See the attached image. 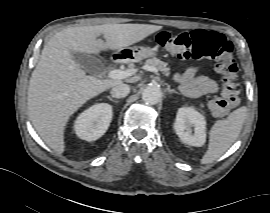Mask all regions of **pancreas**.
<instances>
[{"label": "pancreas", "instance_id": "1", "mask_svg": "<svg viewBox=\"0 0 270 213\" xmlns=\"http://www.w3.org/2000/svg\"><path fill=\"white\" fill-rule=\"evenodd\" d=\"M145 63L147 65H150V66L157 68L159 71H161L166 76H169L171 74L170 68L167 67V63H165V62H163L155 57L149 58L148 60H146Z\"/></svg>", "mask_w": 270, "mask_h": 213}]
</instances>
